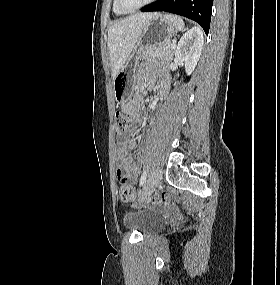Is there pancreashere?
Returning <instances> with one entry per match:
<instances>
[{
	"mask_svg": "<svg viewBox=\"0 0 280 285\" xmlns=\"http://www.w3.org/2000/svg\"><path fill=\"white\" fill-rule=\"evenodd\" d=\"M171 40L162 42L157 46H152L146 49L142 54V59H147L150 57H160L165 60L170 61L174 54V49H171V44H173Z\"/></svg>",
	"mask_w": 280,
	"mask_h": 285,
	"instance_id": "1",
	"label": "pancreas"
}]
</instances>
